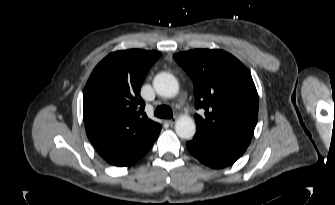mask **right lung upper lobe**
Listing matches in <instances>:
<instances>
[{
  "mask_svg": "<svg viewBox=\"0 0 335 205\" xmlns=\"http://www.w3.org/2000/svg\"><path fill=\"white\" fill-rule=\"evenodd\" d=\"M160 56L140 49L113 52L87 81L83 95L87 136L112 165L136 162L160 133L161 125L147 117L140 97L142 82Z\"/></svg>",
  "mask_w": 335,
  "mask_h": 205,
  "instance_id": "right-lung-upper-lobe-1",
  "label": "right lung upper lobe"
}]
</instances>
